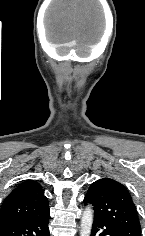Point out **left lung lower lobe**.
<instances>
[{"mask_svg":"<svg viewBox=\"0 0 145 236\" xmlns=\"http://www.w3.org/2000/svg\"><path fill=\"white\" fill-rule=\"evenodd\" d=\"M119 236L112 228L107 226L102 220L94 217L91 236Z\"/></svg>","mask_w":145,"mask_h":236,"instance_id":"left-lung-lower-lobe-1","label":"left lung lower lobe"}]
</instances>
